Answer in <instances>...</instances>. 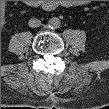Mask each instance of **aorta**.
I'll list each match as a JSON object with an SVG mask.
<instances>
[{
    "instance_id": "1",
    "label": "aorta",
    "mask_w": 109,
    "mask_h": 109,
    "mask_svg": "<svg viewBox=\"0 0 109 109\" xmlns=\"http://www.w3.org/2000/svg\"><path fill=\"white\" fill-rule=\"evenodd\" d=\"M60 24H61L60 19L57 17L51 18L48 22V26L53 29L59 28Z\"/></svg>"
}]
</instances>
